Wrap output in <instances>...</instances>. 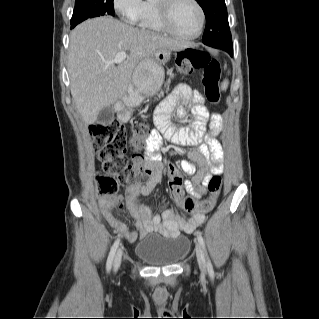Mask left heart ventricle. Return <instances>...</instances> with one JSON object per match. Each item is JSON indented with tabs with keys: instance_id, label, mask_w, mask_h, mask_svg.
I'll list each match as a JSON object with an SVG mask.
<instances>
[{
	"instance_id": "1",
	"label": "left heart ventricle",
	"mask_w": 319,
	"mask_h": 319,
	"mask_svg": "<svg viewBox=\"0 0 319 319\" xmlns=\"http://www.w3.org/2000/svg\"><path fill=\"white\" fill-rule=\"evenodd\" d=\"M171 24L181 35H193L199 25V14L189 0H178L171 12Z\"/></svg>"
}]
</instances>
